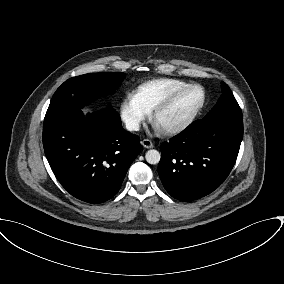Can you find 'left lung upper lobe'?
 I'll return each instance as SVG.
<instances>
[{"instance_id":"5c2ea615","label":"left lung upper lobe","mask_w":284,"mask_h":284,"mask_svg":"<svg viewBox=\"0 0 284 284\" xmlns=\"http://www.w3.org/2000/svg\"><path fill=\"white\" fill-rule=\"evenodd\" d=\"M221 87L222 95L220 96L216 105L210 110V112L205 117H211L216 115L242 116L241 109L228 85L222 82Z\"/></svg>"}]
</instances>
